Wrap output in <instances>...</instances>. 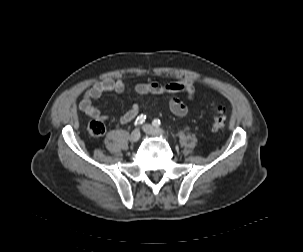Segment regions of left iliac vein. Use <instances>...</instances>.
Segmentation results:
<instances>
[{"label":"left iliac vein","instance_id":"4c4485c4","mask_svg":"<svg viewBox=\"0 0 303 252\" xmlns=\"http://www.w3.org/2000/svg\"><path fill=\"white\" fill-rule=\"evenodd\" d=\"M142 129L147 133V134H150V135H162V136H168V134L163 130V129H160V128H156L150 124H144L142 126Z\"/></svg>","mask_w":303,"mask_h":252}]
</instances>
